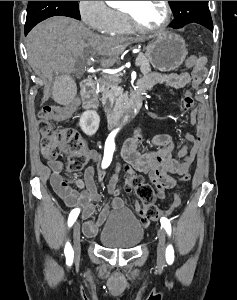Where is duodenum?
Segmentation results:
<instances>
[{"label":"duodenum","instance_id":"1","mask_svg":"<svg viewBox=\"0 0 237 300\" xmlns=\"http://www.w3.org/2000/svg\"><path fill=\"white\" fill-rule=\"evenodd\" d=\"M81 98L85 109L93 113H99V102L96 95V87L93 79L86 78L81 83ZM143 105V91L136 89L131 102L129 103V111L134 114ZM121 121L118 118L107 120L108 129H114L119 126Z\"/></svg>","mask_w":237,"mask_h":300}]
</instances>
